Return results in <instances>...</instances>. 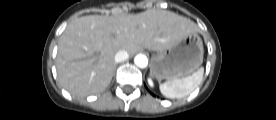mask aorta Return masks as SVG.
<instances>
[{
	"label": "aorta",
	"instance_id": "obj_1",
	"mask_svg": "<svg viewBox=\"0 0 276 120\" xmlns=\"http://www.w3.org/2000/svg\"><path fill=\"white\" fill-rule=\"evenodd\" d=\"M134 63L140 68H145L148 65V58L144 54H137Z\"/></svg>",
	"mask_w": 276,
	"mask_h": 120
}]
</instances>
